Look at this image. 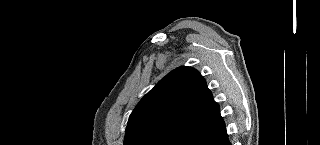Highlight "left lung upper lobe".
Masks as SVG:
<instances>
[{"label": "left lung upper lobe", "instance_id": "5c2ea615", "mask_svg": "<svg viewBox=\"0 0 320 145\" xmlns=\"http://www.w3.org/2000/svg\"><path fill=\"white\" fill-rule=\"evenodd\" d=\"M216 102L203 76L181 66L168 73L138 103L127 123L124 145H178L207 120Z\"/></svg>", "mask_w": 320, "mask_h": 145}]
</instances>
